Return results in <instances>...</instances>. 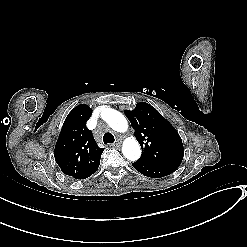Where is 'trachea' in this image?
<instances>
[{"label":"trachea","instance_id":"3493384b","mask_svg":"<svg viewBox=\"0 0 247 247\" xmlns=\"http://www.w3.org/2000/svg\"><path fill=\"white\" fill-rule=\"evenodd\" d=\"M104 144L114 143L115 138L110 132H106L103 137Z\"/></svg>","mask_w":247,"mask_h":247}]
</instances>
